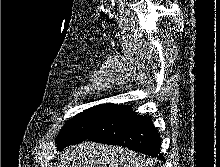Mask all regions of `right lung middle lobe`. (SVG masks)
I'll use <instances>...</instances> for the list:
<instances>
[{"label": "right lung middle lobe", "instance_id": "obj_1", "mask_svg": "<svg viewBox=\"0 0 220 167\" xmlns=\"http://www.w3.org/2000/svg\"><path fill=\"white\" fill-rule=\"evenodd\" d=\"M113 104H100L84 110L70 119L57 137L59 151L83 142L110 112Z\"/></svg>", "mask_w": 220, "mask_h": 167}]
</instances>
